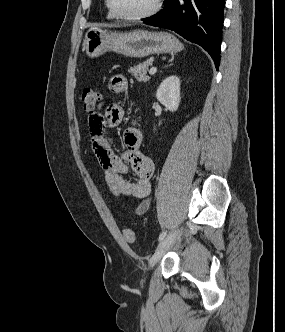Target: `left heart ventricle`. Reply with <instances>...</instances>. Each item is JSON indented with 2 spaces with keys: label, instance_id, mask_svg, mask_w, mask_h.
Segmentation results:
<instances>
[{
  "label": "left heart ventricle",
  "instance_id": "obj_1",
  "mask_svg": "<svg viewBox=\"0 0 285 332\" xmlns=\"http://www.w3.org/2000/svg\"><path fill=\"white\" fill-rule=\"evenodd\" d=\"M156 0H112L114 9L122 15H137L150 10Z\"/></svg>",
  "mask_w": 285,
  "mask_h": 332
}]
</instances>
